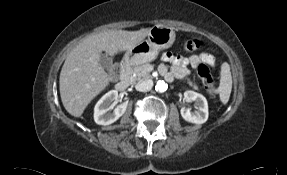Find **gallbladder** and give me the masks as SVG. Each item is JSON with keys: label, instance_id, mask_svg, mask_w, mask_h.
Instances as JSON below:
<instances>
[{"label": "gallbladder", "instance_id": "bac80fb5", "mask_svg": "<svg viewBox=\"0 0 287 175\" xmlns=\"http://www.w3.org/2000/svg\"><path fill=\"white\" fill-rule=\"evenodd\" d=\"M99 64L104 68V69H108L110 68L111 64H112V60L110 57H108L106 54H102L100 55V59H99Z\"/></svg>", "mask_w": 287, "mask_h": 175}]
</instances>
